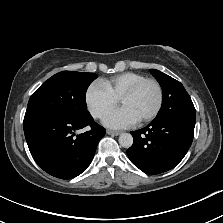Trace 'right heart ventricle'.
Returning <instances> with one entry per match:
<instances>
[{
    "mask_svg": "<svg viewBox=\"0 0 223 223\" xmlns=\"http://www.w3.org/2000/svg\"><path fill=\"white\" fill-rule=\"evenodd\" d=\"M144 78L145 77L139 73L125 72L104 79L102 82L105 84L112 96L119 98L124 92Z\"/></svg>",
    "mask_w": 223,
    "mask_h": 223,
    "instance_id": "obj_1",
    "label": "right heart ventricle"
}]
</instances>
